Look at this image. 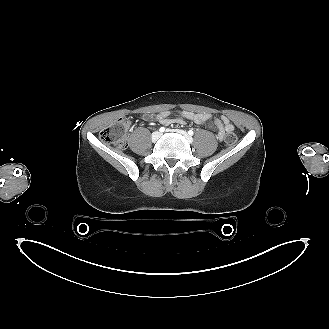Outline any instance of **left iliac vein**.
I'll use <instances>...</instances> for the list:
<instances>
[{
	"instance_id": "4c4485c4",
	"label": "left iliac vein",
	"mask_w": 329,
	"mask_h": 329,
	"mask_svg": "<svg viewBox=\"0 0 329 329\" xmlns=\"http://www.w3.org/2000/svg\"><path fill=\"white\" fill-rule=\"evenodd\" d=\"M177 133L183 135L188 142H192V138L183 130H176Z\"/></svg>"
}]
</instances>
